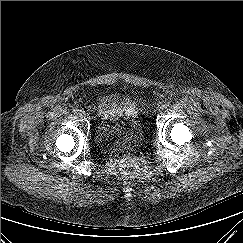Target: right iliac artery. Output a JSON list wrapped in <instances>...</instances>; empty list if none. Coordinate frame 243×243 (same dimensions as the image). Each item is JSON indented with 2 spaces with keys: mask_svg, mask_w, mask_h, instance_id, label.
Wrapping results in <instances>:
<instances>
[{
  "mask_svg": "<svg viewBox=\"0 0 243 243\" xmlns=\"http://www.w3.org/2000/svg\"><path fill=\"white\" fill-rule=\"evenodd\" d=\"M72 112H73L74 114H78V113H79V109L75 108V109H73Z\"/></svg>",
  "mask_w": 243,
  "mask_h": 243,
  "instance_id": "1",
  "label": "right iliac artery"
}]
</instances>
